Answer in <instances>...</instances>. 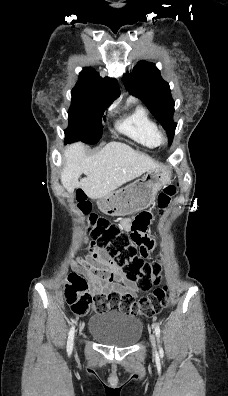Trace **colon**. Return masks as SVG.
I'll return each mask as SVG.
<instances>
[{
	"mask_svg": "<svg viewBox=\"0 0 228 396\" xmlns=\"http://www.w3.org/2000/svg\"><path fill=\"white\" fill-rule=\"evenodd\" d=\"M179 184L167 185L158 195L157 205L163 213L172 198L176 195ZM79 210L87 215L91 205L86 200L84 192L77 193ZM152 220L150 212H142L136 216L131 225V233L127 235L119 227L109 223L104 218L91 216L89 229L93 242L102 256L111 259L114 264L123 269L128 280L135 282L141 290H149L157 283L160 272L159 261L148 262L146 259L153 247V242L145 236ZM96 260V258H95ZM167 288H155L148 296L136 300L131 293L108 295H91L87 282L78 274H70L65 285V298L71 310L77 315H85L91 309L105 312L119 309L131 314L153 316L167 305Z\"/></svg>",
	"mask_w": 228,
	"mask_h": 396,
	"instance_id": "5ec220e1",
	"label": "colon"
}]
</instances>
